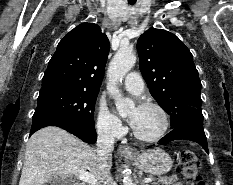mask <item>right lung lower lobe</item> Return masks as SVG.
Masks as SVG:
<instances>
[{
  "label": "right lung lower lobe",
  "mask_w": 233,
  "mask_h": 185,
  "mask_svg": "<svg viewBox=\"0 0 233 185\" xmlns=\"http://www.w3.org/2000/svg\"><path fill=\"white\" fill-rule=\"evenodd\" d=\"M46 126H58L60 128H63L64 130L74 134L75 136L79 137L81 140L89 144L96 142L95 129L87 128L69 122L39 121L36 122L32 127L30 135L33 134L38 129Z\"/></svg>",
  "instance_id": "right-lung-lower-lobe-1"
}]
</instances>
